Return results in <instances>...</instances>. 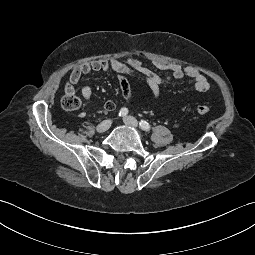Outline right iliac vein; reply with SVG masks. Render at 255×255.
Segmentation results:
<instances>
[{
  "mask_svg": "<svg viewBox=\"0 0 255 255\" xmlns=\"http://www.w3.org/2000/svg\"><path fill=\"white\" fill-rule=\"evenodd\" d=\"M111 120H105L103 122H101L97 127L96 130L98 133H104L106 132L110 126H111Z\"/></svg>",
  "mask_w": 255,
  "mask_h": 255,
  "instance_id": "right-iliac-vein-1",
  "label": "right iliac vein"
}]
</instances>
